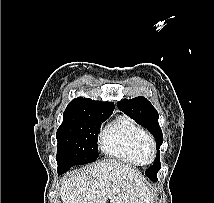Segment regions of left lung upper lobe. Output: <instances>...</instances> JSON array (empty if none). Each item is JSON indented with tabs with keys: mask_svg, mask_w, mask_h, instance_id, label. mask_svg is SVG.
I'll use <instances>...</instances> for the list:
<instances>
[{
	"mask_svg": "<svg viewBox=\"0 0 214 203\" xmlns=\"http://www.w3.org/2000/svg\"><path fill=\"white\" fill-rule=\"evenodd\" d=\"M119 109L124 111L138 124L147 128L154 136L157 146V156L155 163L150 166L145 174L152 181H157V173L161 168L159 147L163 142V135L158 123V112L145 97H135L133 99H123L117 103Z\"/></svg>",
	"mask_w": 214,
	"mask_h": 203,
	"instance_id": "left-lung-upper-lobe-1",
	"label": "left lung upper lobe"
}]
</instances>
